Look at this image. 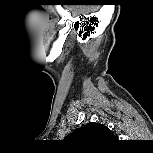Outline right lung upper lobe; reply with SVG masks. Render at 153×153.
<instances>
[{"label": "right lung upper lobe", "instance_id": "cb5924a9", "mask_svg": "<svg viewBox=\"0 0 153 153\" xmlns=\"http://www.w3.org/2000/svg\"><path fill=\"white\" fill-rule=\"evenodd\" d=\"M65 139L83 147H96L115 140L111 130L99 123H88L70 133Z\"/></svg>", "mask_w": 153, "mask_h": 153}]
</instances>
